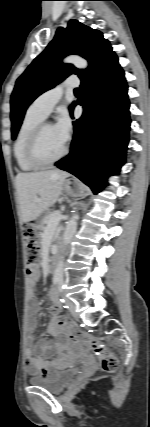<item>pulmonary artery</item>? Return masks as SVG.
<instances>
[{
    "instance_id": "1",
    "label": "pulmonary artery",
    "mask_w": 150,
    "mask_h": 427,
    "mask_svg": "<svg viewBox=\"0 0 150 427\" xmlns=\"http://www.w3.org/2000/svg\"><path fill=\"white\" fill-rule=\"evenodd\" d=\"M79 86V80L76 77L68 78L63 83L47 90L39 95L31 104L30 108L41 115L47 117L54 106L60 101L63 92L67 89H73Z\"/></svg>"
}]
</instances>
